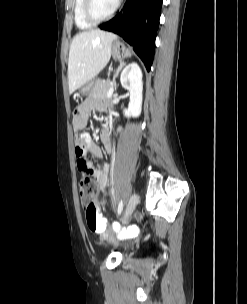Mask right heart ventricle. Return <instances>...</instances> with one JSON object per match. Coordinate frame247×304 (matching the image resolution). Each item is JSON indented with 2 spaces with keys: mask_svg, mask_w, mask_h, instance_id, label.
Masks as SVG:
<instances>
[{
  "mask_svg": "<svg viewBox=\"0 0 247 304\" xmlns=\"http://www.w3.org/2000/svg\"><path fill=\"white\" fill-rule=\"evenodd\" d=\"M84 0H75L74 2V20L78 28L89 29L92 24L87 22L83 15Z\"/></svg>",
  "mask_w": 247,
  "mask_h": 304,
  "instance_id": "right-heart-ventricle-1",
  "label": "right heart ventricle"
}]
</instances>
